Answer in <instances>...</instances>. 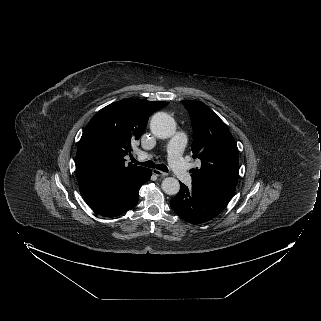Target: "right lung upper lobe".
<instances>
[{
    "mask_svg": "<svg viewBox=\"0 0 321 321\" xmlns=\"http://www.w3.org/2000/svg\"><path fill=\"white\" fill-rule=\"evenodd\" d=\"M168 102L124 99L100 111L87 124L79 142L75 165L79 186L94 181L133 175L143 167L129 164L124 157L144 132L150 115Z\"/></svg>",
    "mask_w": 321,
    "mask_h": 321,
    "instance_id": "1",
    "label": "right lung upper lobe"
}]
</instances>
